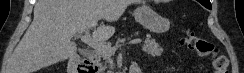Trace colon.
Instances as JSON below:
<instances>
[{"mask_svg":"<svg viewBox=\"0 0 244 73\" xmlns=\"http://www.w3.org/2000/svg\"><path fill=\"white\" fill-rule=\"evenodd\" d=\"M182 40L190 50L201 57L209 58L215 73H228V59L214 43L196 36L188 29H184Z\"/></svg>","mask_w":244,"mask_h":73,"instance_id":"1","label":"colon"}]
</instances>
